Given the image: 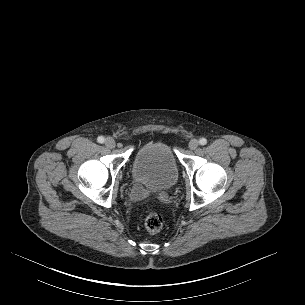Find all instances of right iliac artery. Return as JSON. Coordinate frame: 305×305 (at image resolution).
Wrapping results in <instances>:
<instances>
[{"instance_id":"right-iliac-artery-1","label":"right iliac artery","mask_w":305,"mask_h":305,"mask_svg":"<svg viewBox=\"0 0 305 305\" xmlns=\"http://www.w3.org/2000/svg\"><path fill=\"white\" fill-rule=\"evenodd\" d=\"M97 141H98L99 143H104L105 139H104L103 136H99V137L97 138Z\"/></svg>"}]
</instances>
